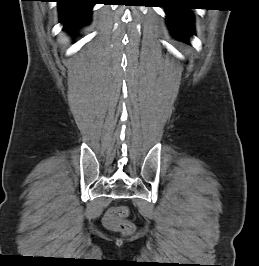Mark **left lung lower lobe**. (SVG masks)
Segmentation results:
<instances>
[{
	"label": "left lung lower lobe",
	"instance_id": "left-lung-lower-lobe-1",
	"mask_svg": "<svg viewBox=\"0 0 259 266\" xmlns=\"http://www.w3.org/2000/svg\"><path fill=\"white\" fill-rule=\"evenodd\" d=\"M169 5L166 6V14L172 33L182 39H188L190 34H194L193 17L188 11L189 8L175 6L173 1H170Z\"/></svg>",
	"mask_w": 259,
	"mask_h": 266
}]
</instances>
